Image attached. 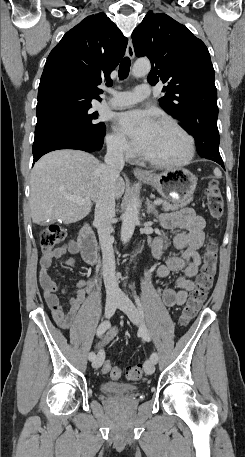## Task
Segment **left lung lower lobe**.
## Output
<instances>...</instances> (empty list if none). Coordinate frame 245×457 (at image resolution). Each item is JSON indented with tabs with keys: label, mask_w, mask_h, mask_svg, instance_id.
<instances>
[{
	"label": "left lung lower lobe",
	"mask_w": 245,
	"mask_h": 457,
	"mask_svg": "<svg viewBox=\"0 0 245 457\" xmlns=\"http://www.w3.org/2000/svg\"><path fill=\"white\" fill-rule=\"evenodd\" d=\"M183 129L195 138L197 150L201 157L215 161L224 168L218 149L220 137L217 119L202 116L194 123H188Z\"/></svg>",
	"instance_id": "obj_1"
}]
</instances>
